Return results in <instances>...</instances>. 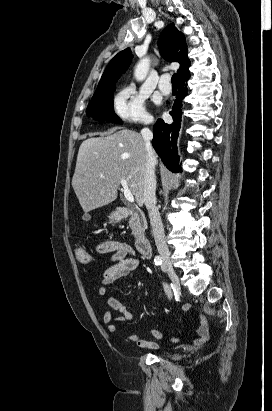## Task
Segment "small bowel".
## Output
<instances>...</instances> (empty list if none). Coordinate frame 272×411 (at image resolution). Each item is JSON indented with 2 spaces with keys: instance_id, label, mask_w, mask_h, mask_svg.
<instances>
[{
  "instance_id": "1",
  "label": "small bowel",
  "mask_w": 272,
  "mask_h": 411,
  "mask_svg": "<svg viewBox=\"0 0 272 411\" xmlns=\"http://www.w3.org/2000/svg\"><path fill=\"white\" fill-rule=\"evenodd\" d=\"M97 251L100 254H112V263L104 271L101 285L98 288V294L100 296H106L109 285L119 280L130 281L133 279V273L139 267L140 259L136 255L135 250L129 244L120 241H102L98 244ZM164 291L170 301L172 298L170 288L164 285ZM107 304L110 309L119 312L120 315L115 317L111 310L108 309L103 314V321L107 325L109 333L118 335V327L115 322H132L134 320V316L123 303L113 296L107 297ZM189 309H191V305H185L184 310L187 311ZM199 321L200 327L198 329V338L193 341L191 348H196L204 344L209 338L207 319L204 315L199 314ZM149 334L156 339L163 338V334L156 329L150 330ZM125 339L134 342L141 348H149L153 350H157L159 348V345L156 342L143 339L138 334H130L126 336ZM171 340L173 342H178L179 339L172 338Z\"/></svg>"
}]
</instances>
